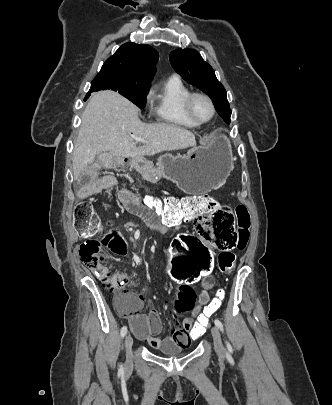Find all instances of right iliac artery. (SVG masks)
Here are the masks:
<instances>
[{
  "mask_svg": "<svg viewBox=\"0 0 332 405\" xmlns=\"http://www.w3.org/2000/svg\"><path fill=\"white\" fill-rule=\"evenodd\" d=\"M126 333H127V326H123L121 328V337H124L126 335ZM122 370L123 369H122V366H121L120 371H122Z\"/></svg>",
  "mask_w": 332,
  "mask_h": 405,
  "instance_id": "82829eb1",
  "label": "right iliac artery"
}]
</instances>
